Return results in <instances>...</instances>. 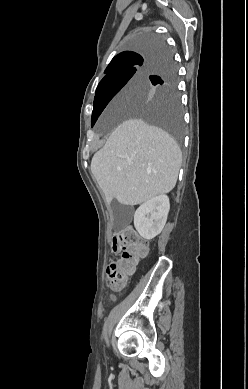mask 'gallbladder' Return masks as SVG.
<instances>
[{"instance_id": "bac80fb5", "label": "gallbladder", "mask_w": 248, "mask_h": 389, "mask_svg": "<svg viewBox=\"0 0 248 389\" xmlns=\"http://www.w3.org/2000/svg\"><path fill=\"white\" fill-rule=\"evenodd\" d=\"M112 209H113L114 214H116L119 210H121L122 211V213H121L122 217H124L125 219H127V221H129V219H130V211H131L130 207H123L116 200H114L112 202Z\"/></svg>"}]
</instances>
